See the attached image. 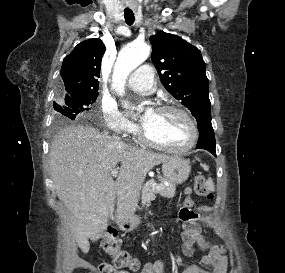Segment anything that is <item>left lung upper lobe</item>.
<instances>
[{"mask_svg":"<svg viewBox=\"0 0 285 273\" xmlns=\"http://www.w3.org/2000/svg\"><path fill=\"white\" fill-rule=\"evenodd\" d=\"M152 62L166 90L189 108L197 122L211 118L206 66L200 50L163 31L150 37Z\"/></svg>","mask_w":285,"mask_h":273,"instance_id":"obj_1","label":"left lung upper lobe"}]
</instances>
